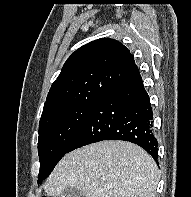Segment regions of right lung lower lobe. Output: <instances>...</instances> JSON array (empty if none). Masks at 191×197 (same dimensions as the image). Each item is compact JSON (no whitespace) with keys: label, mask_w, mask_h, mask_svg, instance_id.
<instances>
[{"label":"right lung lower lobe","mask_w":191,"mask_h":197,"mask_svg":"<svg viewBox=\"0 0 191 197\" xmlns=\"http://www.w3.org/2000/svg\"><path fill=\"white\" fill-rule=\"evenodd\" d=\"M103 140L135 143L157 161L158 142L153 129V113L140 74L114 85L103 95L67 153Z\"/></svg>","instance_id":"98d812e1"}]
</instances>
